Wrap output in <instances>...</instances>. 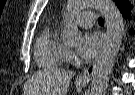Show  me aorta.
I'll list each match as a JSON object with an SVG mask.
<instances>
[{
	"label": "aorta",
	"instance_id": "obj_1",
	"mask_svg": "<svg viewBox=\"0 0 135 95\" xmlns=\"http://www.w3.org/2000/svg\"><path fill=\"white\" fill-rule=\"evenodd\" d=\"M87 6L98 8L106 20V39L93 73L91 86V95H105L109 75L114 66L124 34L123 18L112 0H70L68 12L72 14ZM80 36L77 24L68 20L62 32V38L74 43L79 41Z\"/></svg>",
	"mask_w": 135,
	"mask_h": 95
}]
</instances>
